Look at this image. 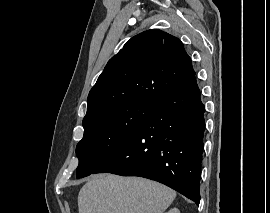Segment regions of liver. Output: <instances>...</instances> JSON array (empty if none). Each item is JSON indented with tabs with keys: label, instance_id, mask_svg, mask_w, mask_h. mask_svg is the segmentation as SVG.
<instances>
[{
	"label": "liver",
	"instance_id": "obj_1",
	"mask_svg": "<svg viewBox=\"0 0 270 213\" xmlns=\"http://www.w3.org/2000/svg\"><path fill=\"white\" fill-rule=\"evenodd\" d=\"M172 189L138 177L93 176L79 191V213H163L173 202Z\"/></svg>",
	"mask_w": 270,
	"mask_h": 213
}]
</instances>
